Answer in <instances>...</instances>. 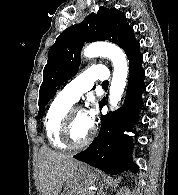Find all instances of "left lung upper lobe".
Returning <instances> with one entry per match:
<instances>
[{
  "label": "left lung upper lobe",
  "mask_w": 178,
  "mask_h": 195,
  "mask_svg": "<svg viewBox=\"0 0 178 195\" xmlns=\"http://www.w3.org/2000/svg\"><path fill=\"white\" fill-rule=\"evenodd\" d=\"M100 40H109L119 45L129 60L140 54L133 29L127 24L125 15L115 8L100 7L96 15L91 13L81 23L67 28L48 52L39 92L40 118L60 85L77 73L84 42Z\"/></svg>",
  "instance_id": "1"
}]
</instances>
